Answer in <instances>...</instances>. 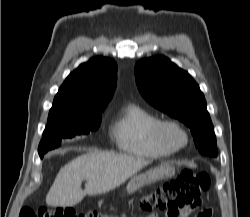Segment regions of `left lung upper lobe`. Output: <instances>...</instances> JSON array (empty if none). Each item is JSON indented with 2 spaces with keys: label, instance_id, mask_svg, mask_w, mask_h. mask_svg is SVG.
<instances>
[{
  "label": "left lung upper lobe",
  "instance_id": "5c2ea615",
  "mask_svg": "<svg viewBox=\"0 0 250 217\" xmlns=\"http://www.w3.org/2000/svg\"><path fill=\"white\" fill-rule=\"evenodd\" d=\"M135 75L145 100L188 126L201 154L217 157L216 137L206 100L188 72L164 56H155L138 61Z\"/></svg>",
  "mask_w": 250,
  "mask_h": 217
}]
</instances>
